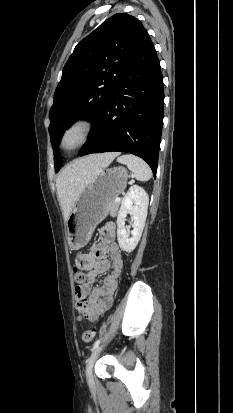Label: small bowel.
Instances as JSON below:
<instances>
[{
  "instance_id": "c3829d8e",
  "label": "small bowel",
  "mask_w": 233,
  "mask_h": 413,
  "mask_svg": "<svg viewBox=\"0 0 233 413\" xmlns=\"http://www.w3.org/2000/svg\"><path fill=\"white\" fill-rule=\"evenodd\" d=\"M115 225L106 224L100 232V241L91 253L80 254L77 261L88 271V282L75 289L76 308L79 319L95 321L113 303L117 280L123 267V260L115 241ZM109 271L100 287L92 288L99 274Z\"/></svg>"
}]
</instances>
